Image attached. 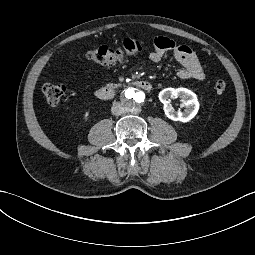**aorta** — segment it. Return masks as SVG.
<instances>
[{"mask_svg": "<svg viewBox=\"0 0 255 255\" xmlns=\"http://www.w3.org/2000/svg\"><path fill=\"white\" fill-rule=\"evenodd\" d=\"M123 98L128 106L139 108L145 101V94L137 88L130 87L125 90Z\"/></svg>", "mask_w": 255, "mask_h": 255, "instance_id": "aorta-1", "label": "aorta"}]
</instances>
